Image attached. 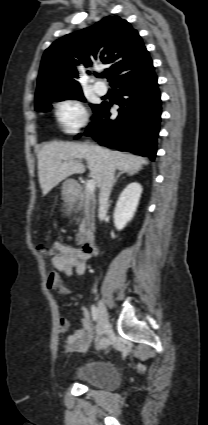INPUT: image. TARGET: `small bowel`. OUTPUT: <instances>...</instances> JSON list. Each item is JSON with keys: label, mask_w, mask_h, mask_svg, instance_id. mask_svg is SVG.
I'll return each instance as SVG.
<instances>
[{"label": "small bowel", "mask_w": 208, "mask_h": 425, "mask_svg": "<svg viewBox=\"0 0 208 425\" xmlns=\"http://www.w3.org/2000/svg\"><path fill=\"white\" fill-rule=\"evenodd\" d=\"M56 254L51 260L54 267L47 278V287L60 295H68L71 291L64 284L62 275L68 278L82 276L87 270L89 258L82 250L68 244L56 241L53 243ZM81 323L72 334L64 340V348L68 353H82L87 351L94 338V328L90 314L86 307L81 308ZM59 328L61 332H67L72 328V322L68 318H60Z\"/></svg>", "instance_id": "obj_1"}]
</instances>
